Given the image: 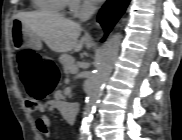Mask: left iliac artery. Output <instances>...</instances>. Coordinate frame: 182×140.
<instances>
[{
	"instance_id": "1",
	"label": "left iliac artery",
	"mask_w": 182,
	"mask_h": 140,
	"mask_svg": "<svg viewBox=\"0 0 182 140\" xmlns=\"http://www.w3.org/2000/svg\"><path fill=\"white\" fill-rule=\"evenodd\" d=\"M88 140H92V138H91V137H89V138H88Z\"/></svg>"
}]
</instances>
